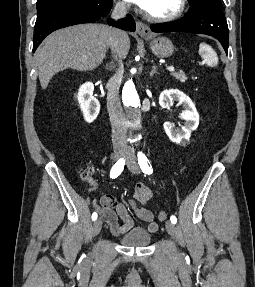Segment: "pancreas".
<instances>
[{"instance_id":"1","label":"pancreas","mask_w":255,"mask_h":287,"mask_svg":"<svg viewBox=\"0 0 255 287\" xmlns=\"http://www.w3.org/2000/svg\"><path fill=\"white\" fill-rule=\"evenodd\" d=\"M172 76H174V78H176V80H180V82H186V80H187L186 74H184V72H182V70H179V72H173Z\"/></svg>"}]
</instances>
